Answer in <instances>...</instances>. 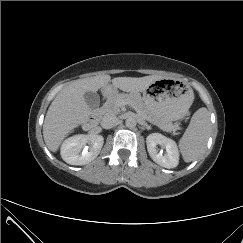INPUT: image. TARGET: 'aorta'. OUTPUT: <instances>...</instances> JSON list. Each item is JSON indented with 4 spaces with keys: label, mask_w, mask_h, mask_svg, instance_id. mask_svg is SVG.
I'll use <instances>...</instances> for the list:
<instances>
[{
    "label": "aorta",
    "mask_w": 243,
    "mask_h": 243,
    "mask_svg": "<svg viewBox=\"0 0 243 243\" xmlns=\"http://www.w3.org/2000/svg\"><path fill=\"white\" fill-rule=\"evenodd\" d=\"M125 124L128 128L132 129L136 127L137 121L134 117L129 116L126 120H125Z\"/></svg>",
    "instance_id": "aorta-1"
}]
</instances>
